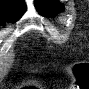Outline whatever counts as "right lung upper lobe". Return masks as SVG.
<instances>
[{
	"label": "right lung upper lobe",
	"mask_w": 89,
	"mask_h": 89,
	"mask_svg": "<svg viewBox=\"0 0 89 89\" xmlns=\"http://www.w3.org/2000/svg\"><path fill=\"white\" fill-rule=\"evenodd\" d=\"M24 0H1L0 1V24L5 21L15 22L25 12Z\"/></svg>",
	"instance_id": "obj_1"
}]
</instances>
